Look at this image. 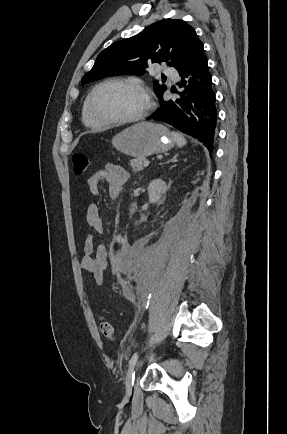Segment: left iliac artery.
Wrapping results in <instances>:
<instances>
[{
    "label": "left iliac artery",
    "mask_w": 287,
    "mask_h": 434,
    "mask_svg": "<svg viewBox=\"0 0 287 434\" xmlns=\"http://www.w3.org/2000/svg\"><path fill=\"white\" fill-rule=\"evenodd\" d=\"M148 306H149V300L144 303V307L148 308ZM138 360H139V353L135 352L129 361L130 368H133L134 370V368H136Z\"/></svg>",
    "instance_id": "44dca946"
}]
</instances>
